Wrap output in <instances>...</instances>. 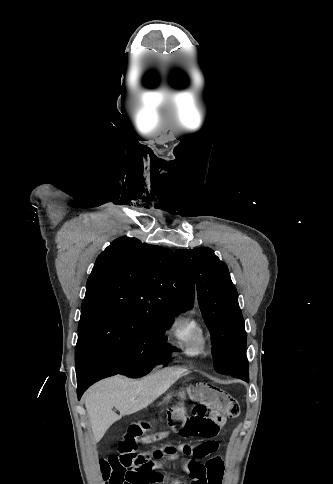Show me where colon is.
Returning <instances> with one entry per match:
<instances>
[{"label": "colon", "instance_id": "obj_1", "mask_svg": "<svg viewBox=\"0 0 333 484\" xmlns=\"http://www.w3.org/2000/svg\"><path fill=\"white\" fill-rule=\"evenodd\" d=\"M177 432L175 429H165L161 431H157L145 436H142L138 443L140 444H150L158 441H163L171 438L172 436L176 435Z\"/></svg>", "mask_w": 333, "mask_h": 484}]
</instances>
